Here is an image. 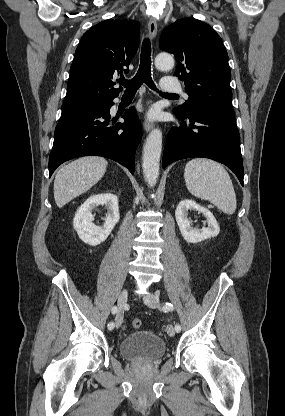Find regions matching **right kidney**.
<instances>
[{
  "mask_svg": "<svg viewBox=\"0 0 285 416\" xmlns=\"http://www.w3.org/2000/svg\"><path fill=\"white\" fill-rule=\"evenodd\" d=\"M96 206H106L108 210L103 226L93 224L94 216L91 214V210ZM119 218L117 196L115 194H97V196H90L84 204H81L75 214L73 226L82 242L89 244V246H98L101 242H105L115 224L119 222Z\"/></svg>",
  "mask_w": 285,
  "mask_h": 416,
  "instance_id": "obj_1",
  "label": "right kidney"
}]
</instances>
